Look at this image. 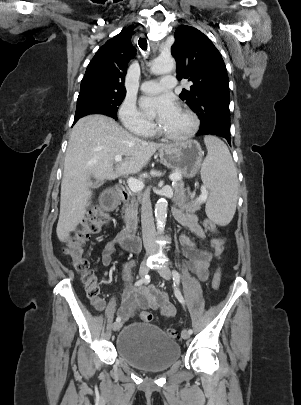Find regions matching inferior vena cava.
Masks as SVG:
<instances>
[{"label": "inferior vena cava", "mask_w": 301, "mask_h": 405, "mask_svg": "<svg viewBox=\"0 0 301 405\" xmlns=\"http://www.w3.org/2000/svg\"><path fill=\"white\" fill-rule=\"evenodd\" d=\"M141 224L144 248L147 253H152L155 251V225L149 190L142 194Z\"/></svg>", "instance_id": "1"}]
</instances>
